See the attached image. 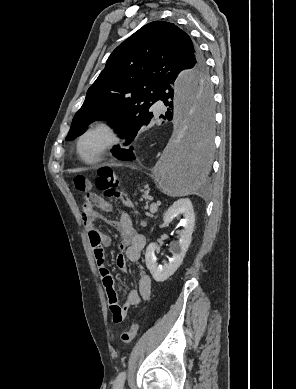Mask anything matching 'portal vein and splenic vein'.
<instances>
[{
	"label": "portal vein and splenic vein",
	"instance_id": "18ae733b",
	"mask_svg": "<svg viewBox=\"0 0 296 389\" xmlns=\"http://www.w3.org/2000/svg\"><path fill=\"white\" fill-rule=\"evenodd\" d=\"M151 209L154 210V211H157V205L156 204H152L151 205Z\"/></svg>",
	"mask_w": 296,
	"mask_h": 389
}]
</instances>
